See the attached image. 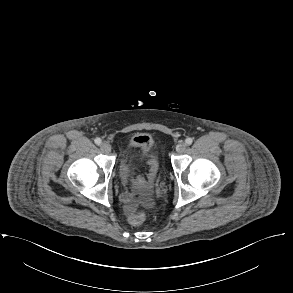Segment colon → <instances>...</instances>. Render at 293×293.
Wrapping results in <instances>:
<instances>
[{"mask_svg":"<svg viewBox=\"0 0 293 293\" xmlns=\"http://www.w3.org/2000/svg\"><path fill=\"white\" fill-rule=\"evenodd\" d=\"M152 171L155 169V164L153 162L150 163ZM146 219V213L140 211L135 213L129 217V222L132 226H140Z\"/></svg>","mask_w":293,"mask_h":293,"instance_id":"obj_1","label":"colon"}]
</instances>
